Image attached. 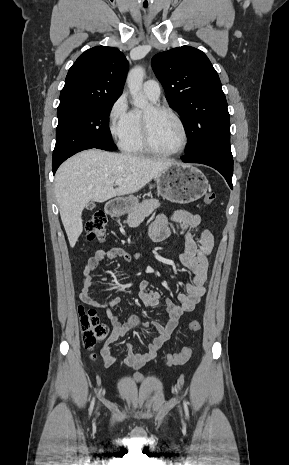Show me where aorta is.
<instances>
[{
  "mask_svg": "<svg viewBox=\"0 0 289 465\" xmlns=\"http://www.w3.org/2000/svg\"><path fill=\"white\" fill-rule=\"evenodd\" d=\"M145 70L141 66L131 69L127 76V85L132 96L134 106L144 109L148 106V101L142 94V84Z\"/></svg>",
  "mask_w": 289,
  "mask_h": 465,
  "instance_id": "762f6f07",
  "label": "aorta"
}]
</instances>
